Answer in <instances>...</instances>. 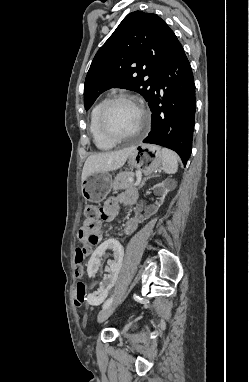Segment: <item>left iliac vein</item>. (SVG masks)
Returning <instances> with one entry per match:
<instances>
[{
    "label": "left iliac vein",
    "mask_w": 249,
    "mask_h": 382,
    "mask_svg": "<svg viewBox=\"0 0 249 382\" xmlns=\"http://www.w3.org/2000/svg\"><path fill=\"white\" fill-rule=\"evenodd\" d=\"M114 310H115V306H111V305L105 309H102L98 314V321L102 322L108 319V317L112 315Z\"/></svg>",
    "instance_id": "left-iliac-vein-1"
}]
</instances>
